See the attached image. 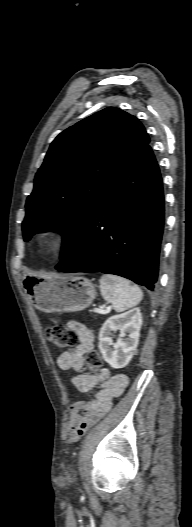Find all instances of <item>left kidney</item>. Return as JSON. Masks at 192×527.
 I'll return each instance as SVG.
<instances>
[{
    "label": "left kidney",
    "instance_id": "1",
    "mask_svg": "<svg viewBox=\"0 0 192 527\" xmlns=\"http://www.w3.org/2000/svg\"><path fill=\"white\" fill-rule=\"evenodd\" d=\"M142 314L139 308L109 317L99 332V350L104 360L113 368L125 367L136 353L139 342ZM120 330L113 343L112 332ZM128 333V338H124ZM112 346V348H111Z\"/></svg>",
    "mask_w": 192,
    "mask_h": 527
}]
</instances>
